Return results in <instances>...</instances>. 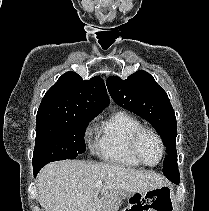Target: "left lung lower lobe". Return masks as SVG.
I'll return each instance as SVG.
<instances>
[{"mask_svg":"<svg viewBox=\"0 0 209 211\" xmlns=\"http://www.w3.org/2000/svg\"><path fill=\"white\" fill-rule=\"evenodd\" d=\"M166 177L172 181L175 185L179 184V174L176 175H166Z\"/></svg>","mask_w":209,"mask_h":211,"instance_id":"0a47b994","label":"left lung lower lobe"}]
</instances>
